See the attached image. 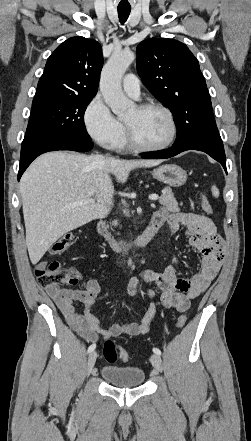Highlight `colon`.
I'll list each match as a JSON object with an SVG mask.
<instances>
[{
    "instance_id": "colon-1",
    "label": "colon",
    "mask_w": 251,
    "mask_h": 441,
    "mask_svg": "<svg viewBox=\"0 0 251 441\" xmlns=\"http://www.w3.org/2000/svg\"><path fill=\"white\" fill-rule=\"evenodd\" d=\"M201 208L206 214H212L213 208L210 201L206 196H201ZM76 240V236L73 233H66L59 238L51 247L50 252L52 254H59L70 248ZM35 275L40 286H60L63 284H76L79 280L78 272L73 268H65L59 262L53 261L48 265L39 266L35 270ZM187 322L185 315H180L177 319V326L183 327ZM104 358L114 363L118 358L124 362L130 360V356L127 351L119 349L116 344L108 339L103 346Z\"/></svg>"
}]
</instances>
